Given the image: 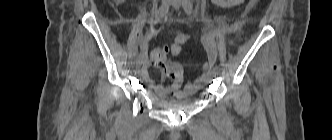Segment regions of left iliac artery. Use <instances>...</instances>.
Masks as SVG:
<instances>
[{"label":"left iliac artery","mask_w":332,"mask_h":140,"mask_svg":"<svg viewBox=\"0 0 332 140\" xmlns=\"http://www.w3.org/2000/svg\"><path fill=\"white\" fill-rule=\"evenodd\" d=\"M183 8L187 14H191L193 11L191 0H182ZM216 70L220 71V66L215 67Z\"/></svg>","instance_id":"44dca946"}]
</instances>
